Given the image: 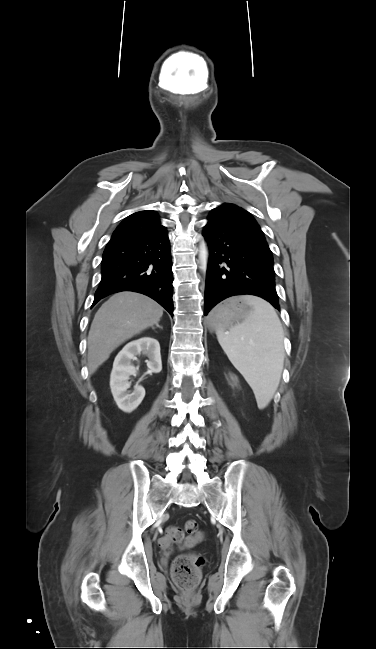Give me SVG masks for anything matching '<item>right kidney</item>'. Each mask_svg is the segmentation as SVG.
<instances>
[{"instance_id":"1","label":"right kidney","mask_w":376,"mask_h":649,"mask_svg":"<svg viewBox=\"0 0 376 649\" xmlns=\"http://www.w3.org/2000/svg\"><path fill=\"white\" fill-rule=\"evenodd\" d=\"M144 354L148 373H159L162 370V361L159 342L149 336H145L128 343L116 356L110 376V388L118 407L127 413L135 410L145 396V389L136 384L132 392L128 382L130 375L137 373L136 367L131 363L137 356Z\"/></svg>"}]
</instances>
